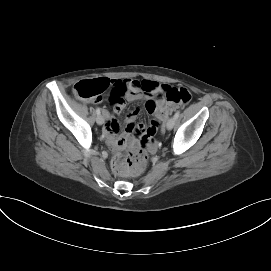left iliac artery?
Instances as JSON below:
<instances>
[{"label": "left iliac artery", "instance_id": "1", "mask_svg": "<svg viewBox=\"0 0 271 271\" xmlns=\"http://www.w3.org/2000/svg\"><path fill=\"white\" fill-rule=\"evenodd\" d=\"M179 115H180V111H177V112L174 114V118H175V119H178Z\"/></svg>", "mask_w": 271, "mask_h": 271}]
</instances>
